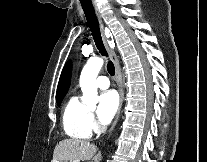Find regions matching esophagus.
Returning a JSON list of instances; mask_svg holds the SVG:
<instances>
[{"mask_svg":"<svg viewBox=\"0 0 207 162\" xmlns=\"http://www.w3.org/2000/svg\"><path fill=\"white\" fill-rule=\"evenodd\" d=\"M92 4H93L95 15H96L98 23H99V28H100V31H101V35H102V39H103L105 48H106L109 56L111 57V59L114 63V66H115V79H116V82H117V85H118V90H119V93H120V104H119V108H118V111L116 113V117H115V120L113 122V125H112L111 129L109 130V134H110L113 131V129L115 128V126H116V124L119 120L121 109L123 107L124 90H123V85H122L121 68H120V65H119L117 55L114 51V47H115L114 39H113L112 36L111 37L106 36L104 23H103L99 8L97 7V5L95 3V0H92Z\"/></svg>","mask_w":207,"mask_h":162,"instance_id":"34e87169","label":"esophagus"}]
</instances>
